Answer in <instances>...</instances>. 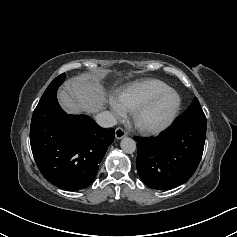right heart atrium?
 I'll list each match as a JSON object with an SVG mask.
<instances>
[{
  "label": "right heart atrium",
  "mask_w": 237,
  "mask_h": 237,
  "mask_svg": "<svg viewBox=\"0 0 237 237\" xmlns=\"http://www.w3.org/2000/svg\"><path fill=\"white\" fill-rule=\"evenodd\" d=\"M110 107L113 115L117 119H122L126 115V110L120 105V103L117 101V99H113L110 102Z\"/></svg>",
  "instance_id": "1"
}]
</instances>
